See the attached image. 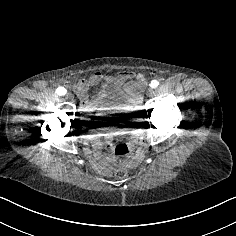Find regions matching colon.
I'll use <instances>...</instances> for the list:
<instances>
[{
  "instance_id": "colon-1",
  "label": "colon",
  "mask_w": 236,
  "mask_h": 236,
  "mask_svg": "<svg viewBox=\"0 0 236 236\" xmlns=\"http://www.w3.org/2000/svg\"><path fill=\"white\" fill-rule=\"evenodd\" d=\"M115 176L118 179H124L128 176V172L124 168H119L115 171Z\"/></svg>"
}]
</instances>
